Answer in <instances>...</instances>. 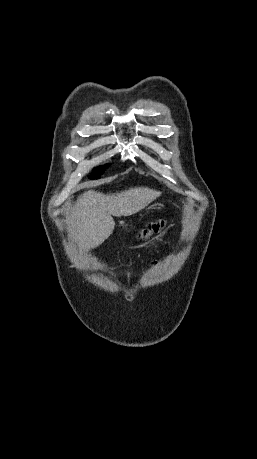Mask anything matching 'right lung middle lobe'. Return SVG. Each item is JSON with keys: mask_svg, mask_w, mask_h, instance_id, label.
I'll use <instances>...</instances> for the list:
<instances>
[{"mask_svg": "<svg viewBox=\"0 0 257 459\" xmlns=\"http://www.w3.org/2000/svg\"><path fill=\"white\" fill-rule=\"evenodd\" d=\"M108 165L106 166H101V167H98V168H95L94 169V172L92 173V175L90 176V179H97L99 178V176L103 173L104 169L107 167Z\"/></svg>", "mask_w": 257, "mask_h": 459, "instance_id": "1", "label": "right lung middle lobe"}]
</instances>
